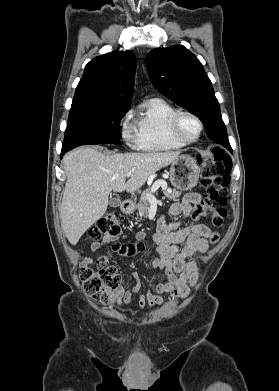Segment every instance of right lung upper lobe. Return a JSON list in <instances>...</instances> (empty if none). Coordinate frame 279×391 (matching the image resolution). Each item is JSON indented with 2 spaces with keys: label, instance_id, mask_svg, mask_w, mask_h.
I'll use <instances>...</instances> for the list:
<instances>
[{
  "label": "right lung upper lobe",
  "instance_id": "obj_1",
  "mask_svg": "<svg viewBox=\"0 0 279 391\" xmlns=\"http://www.w3.org/2000/svg\"><path fill=\"white\" fill-rule=\"evenodd\" d=\"M136 58L132 51H113L91 60L76 87L71 111L129 107L133 96Z\"/></svg>",
  "mask_w": 279,
  "mask_h": 391
}]
</instances>
